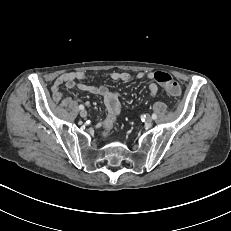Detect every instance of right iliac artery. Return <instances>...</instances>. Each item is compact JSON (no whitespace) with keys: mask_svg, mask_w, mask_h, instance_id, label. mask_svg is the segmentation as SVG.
<instances>
[{"mask_svg":"<svg viewBox=\"0 0 231 231\" xmlns=\"http://www.w3.org/2000/svg\"><path fill=\"white\" fill-rule=\"evenodd\" d=\"M79 109H80V110H83V109H84V106H83V105H79Z\"/></svg>","mask_w":231,"mask_h":231,"instance_id":"1","label":"right iliac artery"}]
</instances>
